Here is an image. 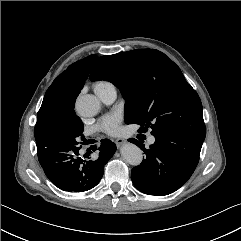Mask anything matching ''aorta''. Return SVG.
<instances>
[{"mask_svg":"<svg viewBox=\"0 0 241 241\" xmlns=\"http://www.w3.org/2000/svg\"><path fill=\"white\" fill-rule=\"evenodd\" d=\"M100 107L99 99L92 94L79 95L75 103L76 111L83 117L96 115ZM121 155L127 163L133 166L140 165L143 160V152L132 143H126L121 147Z\"/></svg>","mask_w":241,"mask_h":241,"instance_id":"obj_1","label":"aorta"}]
</instances>
